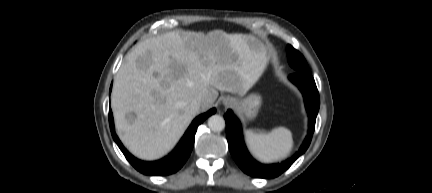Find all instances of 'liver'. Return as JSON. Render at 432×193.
Returning <instances> with one entry per match:
<instances>
[{
  "mask_svg": "<svg viewBox=\"0 0 432 193\" xmlns=\"http://www.w3.org/2000/svg\"><path fill=\"white\" fill-rule=\"evenodd\" d=\"M269 53L253 35L171 31L137 44L113 84L111 107L124 146L143 160L159 159L181 138L218 91L243 96L267 67ZM202 100L195 111L190 104ZM136 118L129 122L127 115Z\"/></svg>",
  "mask_w": 432,
  "mask_h": 193,
  "instance_id": "liver-1",
  "label": "liver"
}]
</instances>
